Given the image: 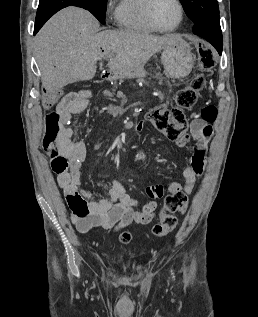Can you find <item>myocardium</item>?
<instances>
[{
  "label": "myocardium",
  "mask_w": 258,
  "mask_h": 317,
  "mask_svg": "<svg viewBox=\"0 0 258 317\" xmlns=\"http://www.w3.org/2000/svg\"><path fill=\"white\" fill-rule=\"evenodd\" d=\"M157 0H149L147 6H146V10H145V17H146V20L147 22L156 30V31H159V32H171V31H174L182 22V19H183V14H184V11H183V5H182V1L181 0H175L177 5H178V8H179V17H178V20L177 22L170 28H161L159 27L155 21L153 20V17H152V8H153V5L154 3L156 2Z\"/></svg>",
  "instance_id": "myocardium-1"
}]
</instances>
